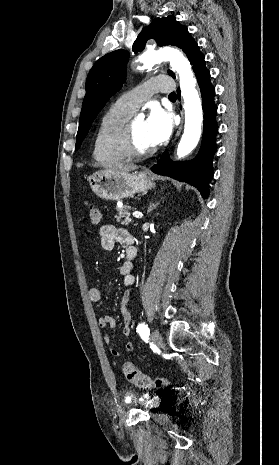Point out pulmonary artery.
<instances>
[{
  "label": "pulmonary artery",
  "mask_w": 279,
  "mask_h": 465,
  "mask_svg": "<svg viewBox=\"0 0 279 465\" xmlns=\"http://www.w3.org/2000/svg\"><path fill=\"white\" fill-rule=\"evenodd\" d=\"M173 91L172 81L165 76H158L149 79L133 90H130L117 99V103L122 107L135 112L154 93H171Z\"/></svg>",
  "instance_id": "e3ab8cb5"
}]
</instances>
